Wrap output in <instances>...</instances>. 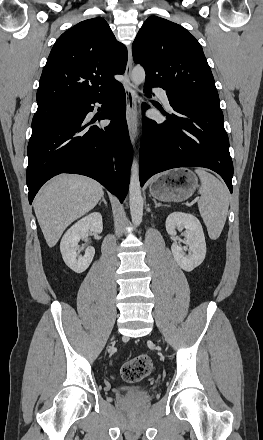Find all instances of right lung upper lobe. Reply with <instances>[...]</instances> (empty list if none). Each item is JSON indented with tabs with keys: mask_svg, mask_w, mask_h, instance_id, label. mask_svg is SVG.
<instances>
[{
	"mask_svg": "<svg viewBox=\"0 0 263 440\" xmlns=\"http://www.w3.org/2000/svg\"><path fill=\"white\" fill-rule=\"evenodd\" d=\"M127 50L100 17L76 24L54 44L37 91L38 107L66 103L117 85Z\"/></svg>",
	"mask_w": 263,
	"mask_h": 440,
	"instance_id": "cb5924a9",
	"label": "right lung upper lobe"
}]
</instances>
